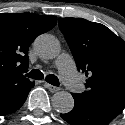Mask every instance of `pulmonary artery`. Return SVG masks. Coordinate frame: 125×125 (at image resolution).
<instances>
[{
    "label": "pulmonary artery",
    "instance_id": "pulmonary-artery-1",
    "mask_svg": "<svg viewBox=\"0 0 125 125\" xmlns=\"http://www.w3.org/2000/svg\"><path fill=\"white\" fill-rule=\"evenodd\" d=\"M56 66L59 69L60 76L65 84L73 89H80V83L77 73L75 72L72 57L68 54H62L56 60Z\"/></svg>",
    "mask_w": 125,
    "mask_h": 125
}]
</instances>
